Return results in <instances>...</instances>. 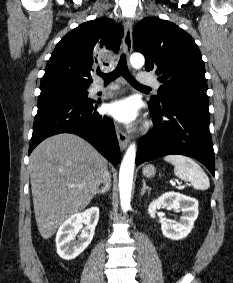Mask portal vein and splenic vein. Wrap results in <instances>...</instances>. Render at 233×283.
<instances>
[{
    "label": "portal vein and splenic vein",
    "mask_w": 233,
    "mask_h": 283,
    "mask_svg": "<svg viewBox=\"0 0 233 283\" xmlns=\"http://www.w3.org/2000/svg\"><path fill=\"white\" fill-rule=\"evenodd\" d=\"M172 186H176V183L174 181H171Z\"/></svg>",
    "instance_id": "18ae733b"
}]
</instances>
